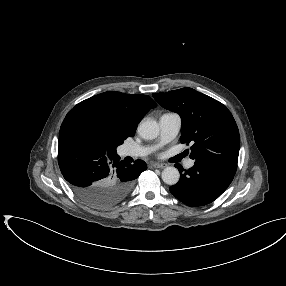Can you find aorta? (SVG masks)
Listing matches in <instances>:
<instances>
[{
  "mask_svg": "<svg viewBox=\"0 0 286 286\" xmlns=\"http://www.w3.org/2000/svg\"><path fill=\"white\" fill-rule=\"evenodd\" d=\"M159 125L153 119H144L138 126V134L146 140L155 139L159 135ZM162 180L168 185H175L180 178L177 168L169 166L162 171Z\"/></svg>",
  "mask_w": 286,
  "mask_h": 286,
  "instance_id": "obj_1",
  "label": "aorta"
}]
</instances>
